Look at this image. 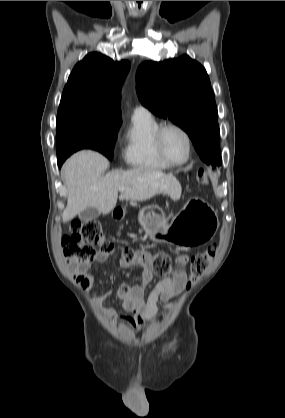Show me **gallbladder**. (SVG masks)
<instances>
[{"label":"gallbladder","mask_w":285,"mask_h":418,"mask_svg":"<svg viewBox=\"0 0 285 418\" xmlns=\"http://www.w3.org/2000/svg\"><path fill=\"white\" fill-rule=\"evenodd\" d=\"M99 215L100 211L97 208L88 207L79 214V217L82 221H90L97 218Z\"/></svg>","instance_id":"bac80fb5"}]
</instances>
